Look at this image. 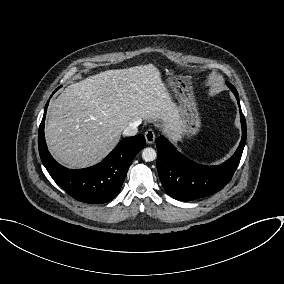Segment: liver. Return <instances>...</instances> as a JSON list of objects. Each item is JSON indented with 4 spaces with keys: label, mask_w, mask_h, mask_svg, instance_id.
Masks as SVG:
<instances>
[{
    "label": "liver",
    "mask_w": 284,
    "mask_h": 284,
    "mask_svg": "<svg viewBox=\"0 0 284 284\" xmlns=\"http://www.w3.org/2000/svg\"><path fill=\"white\" fill-rule=\"evenodd\" d=\"M160 122L172 140L180 137L178 106L152 65L107 70L65 88L51 102L45 137L53 157L70 168L100 162L131 123Z\"/></svg>",
    "instance_id": "liver-1"
}]
</instances>
